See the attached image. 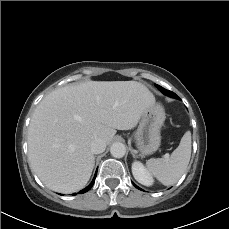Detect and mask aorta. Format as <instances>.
Here are the masks:
<instances>
[{"label":"aorta","mask_w":229,"mask_h":229,"mask_svg":"<svg viewBox=\"0 0 229 229\" xmlns=\"http://www.w3.org/2000/svg\"><path fill=\"white\" fill-rule=\"evenodd\" d=\"M110 153L115 158H122L126 153V147L123 143L115 142L110 148Z\"/></svg>","instance_id":"1"}]
</instances>
